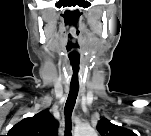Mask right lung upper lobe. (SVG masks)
<instances>
[{
  "label": "right lung upper lobe",
  "mask_w": 151,
  "mask_h": 136,
  "mask_svg": "<svg viewBox=\"0 0 151 136\" xmlns=\"http://www.w3.org/2000/svg\"><path fill=\"white\" fill-rule=\"evenodd\" d=\"M58 121L49 111L43 110L14 125L9 134L12 136H57Z\"/></svg>",
  "instance_id": "right-lung-upper-lobe-1"
}]
</instances>
